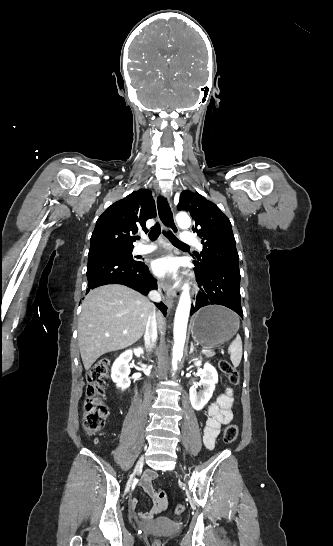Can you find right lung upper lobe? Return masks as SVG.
<instances>
[{
	"instance_id": "right-lung-upper-lobe-1",
	"label": "right lung upper lobe",
	"mask_w": 333,
	"mask_h": 546,
	"mask_svg": "<svg viewBox=\"0 0 333 546\" xmlns=\"http://www.w3.org/2000/svg\"><path fill=\"white\" fill-rule=\"evenodd\" d=\"M154 217L156 207L150 190L140 189L129 194L98 218L89 252L107 247H133L138 227L146 229V221Z\"/></svg>"
}]
</instances>
